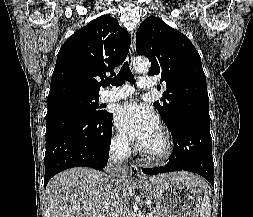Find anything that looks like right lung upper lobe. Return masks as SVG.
Segmentation results:
<instances>
[{"label": "right lung upper lobe", "mask_w": 253, "mask_h": 217, "mask_svg": "<svg viewBox=\"0 0 253 217\" xmlns=\"http://www.w3.org/2000/svg\"><path fill=\"white\" fill-rule=\"evenodd\" d=\"M130 36L118 21L103 15L71 35L59 50L48 102L69 97H99L98 82L126 58Z\"/></svg>", "instance_id": "obj_1"}]
</instances>
